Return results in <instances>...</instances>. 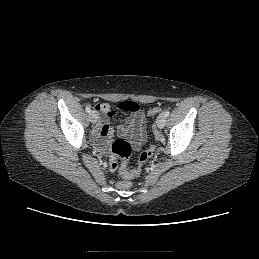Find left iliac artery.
Wrapping results in <instances>:
<instances>
[{"label":"left iliac artery","mask_w":259,"mask_h":259,"mask_svg":"<svg viewBox=\"0 0 259 259\" xmlns=\"http://www.w3.org/2000/svg\"><path fill=\"white\" fill-rule=\"evenodd\" d=\"M164 114H165V116L167 117V116H169L170 112H169L168 110H166V111L164 112Z\"/></svg>","instance_id":"44dca946"}]
</instances>
